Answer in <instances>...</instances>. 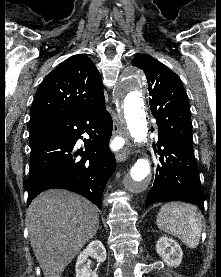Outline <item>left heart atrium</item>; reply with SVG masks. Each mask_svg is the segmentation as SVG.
Here are the masks:
<instances>
[{"mask_svg":"<svg viewBox=\"0 0 221 277\" xmlns=\"http://www.w3.org/2000/svg\"><path fill=\"white\" fill-rule=\"evenodd\" d=\"M114 145L117 147L119 144H118V143H115Z\"/></svg>","mask_w":221,"mask_h":277,"instance_id":"39dd6f15","label":"left heart atrium"}]
</instances>
